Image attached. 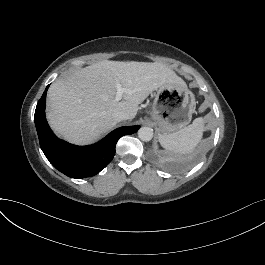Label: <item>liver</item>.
<instances>
[{"mask_svg":"<svg viewBox=\"0 0 265 265\" xmlns=\"http://www.w3.org/2000/svg\"><path fill=\"white\" fill-rule=\"evenodd\" d=\"M135 90L115 101L116 83ZM185 88V82L160 62L102 60L55 81L47 93L46 117L52 130L75 144H87L111 130L112 114L129 113L133 119L150 93L158 88Z\"/></svg>","mask_w":265,"mask_h":265,"instance_id":"obj_1","label":"liver"}]
</instances>
